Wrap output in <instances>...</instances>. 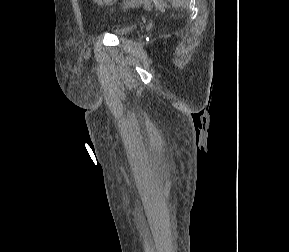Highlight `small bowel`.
Returning <instances> with one entry per match:
<instances>
[{
	"mask_svg": "<svg viewBox=\"0 0 289 252\" xmlns=\"http://www.w3.org/2000/svg\"><path fill=\"white\" fill-rule=\"evenodd\" d=\"M133 0H128L127 2H129L131 5L133 4L132 2ZM94 3L103 6V5H110L114 2V0H93Z\"/></svg>",
	"mask_w": 289,
	"mask_h": 252,
	"instance_id": "1",
	"label": "small bowel"
}]
</instances>
